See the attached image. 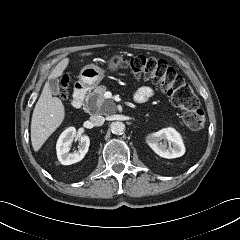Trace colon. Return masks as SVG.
Wrapping results in <instances>:
<instances>
[{
  "mask_svg": "<svg viewBox=\"0 0 240 240\" xmlns=\"http://www.w3.org/2000/svg\"><path fill=\"white\" fill-rule=\"evenodd\" d=\"M136 78L151 81L166 93L173 105L184 110L183 121L185 125L193 130L204 129L206 117L199 108V100L191 86L180 76L166 61L162 59L135 56L124 62ZM68 80L64 78L61 82L60 98L68 99Z\"/></svg>",
  "mask_w": 240,
  "mask_h": 240,
  "instance_id": "1",
  "label": "colon"
}]
</instances>
